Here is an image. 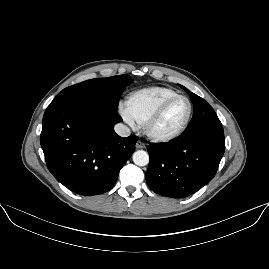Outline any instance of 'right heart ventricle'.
Returning a JSON list of instances; mask_svg holds the SVG:
<instances>
[{"label":"right heart ventricle","mask_w":269,"mask_h":269,"mask_svg":"<svg viewBox=\"0 0 269 269\" xmlns=\"http://www.w3.org/2000/svg\"><path fill=\"white\" fill-rule=\"evenodd\" d=\"M178 93L166 87H151L131 93L126 101L128 114L140 126L167 99Z\"/></svg>","instance_id":"obj_1"}]
</instances>
